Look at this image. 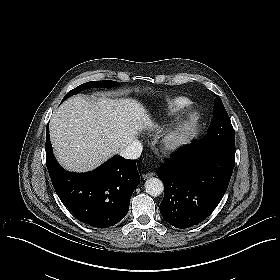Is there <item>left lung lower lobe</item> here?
Segmentation results:
<instances>
[{
	"label": "left lung lower lobe",
	"instance_id": "obj_1",
	"mask_svg": "<svg viewBox=\"0 0 280 280\" xmlns=\"http://www.w3.org/2000/svg\"><path fill=\"white\" fill-rule=\"evenodd\" d=\"M235 164V150L193 143L167 160L157 175L164 183L160 213L177 228L205 220L223 198Z\"/></svg>",
	"mask_w": 280,
	"mask_h": 280
}]
</instances>
